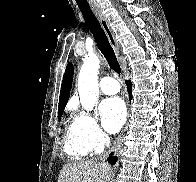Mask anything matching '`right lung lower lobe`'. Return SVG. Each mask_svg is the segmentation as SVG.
Segmentation results:
<instances>
[{"label": "right lung lower lobe", "mask_w": 196, "mask_h": 182, "mask_svg": "<svg viewBox=\"0 0 196 182\" xmlns=\"http://www.w3.org/2000/svg\"><path fill=\"white\" fill-rule=\"evenodd\" d=\"M126 85H127V91H128V93L130 94L129 98H130V100H131V99H132V96H131V86H132V83H131V81H126ZM111 154H113V153H111ZM108 161L110 162V164L113 165V164L116 163L117 159H116L115 156H110V157L108 158Z\"/></svg>", "instance_id": "right-lung-lower-lobe-1"}]
</instances>
